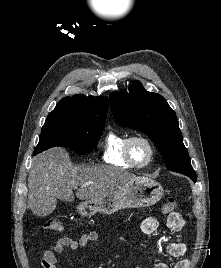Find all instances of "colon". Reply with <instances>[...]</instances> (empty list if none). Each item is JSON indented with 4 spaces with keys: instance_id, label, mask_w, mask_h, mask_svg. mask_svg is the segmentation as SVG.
<instances>
[{
    "instance_id": "obj_1",
    "label": "colon",
    "mask_w": 221,
    "mask_h": 268,
    "mask_svg": "<svg viewBox=\"0 0 221 268\" xmlns=\"http://www.w3.org/2000/svg\"><path fill=\"white\" fill-rule=\"evenodd\" d=\"M177 207V201L174 198H169L163 205V211L172 214ZM44 229L49 231H59L62 229V222L58 218H51L44 224Z\"/></svg>"
}]
</instances>
